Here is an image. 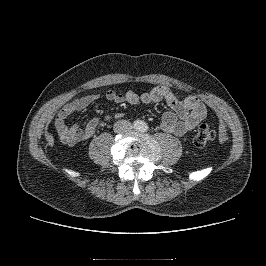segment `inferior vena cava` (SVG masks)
<instances>
[{
	"mask_svg": "<svg viewBox=\"0 0 266 266\" xmlns=\"http://www.w3.org/2000/svg\"><path fill=\"white\" fill-rule=\"evenodd\" d=\"M132 128L131 123L127 120H119L114 124V131L117 133H124Z\"/></svg>",
	"mask_w": 266,
	"mask_h": 266,
	"instance_id": "602c4592",
	"label": "inferior vena cava"
}]
</instances>
